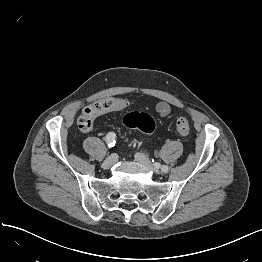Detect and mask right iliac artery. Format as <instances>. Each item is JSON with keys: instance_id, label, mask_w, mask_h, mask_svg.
<instances>
[{"instance_id": "right-iliac-artery-1", "label": "right iliac artery", "mask_w": 262, "mask_h": 262, "mask_svg": "<svg viewBox=\"0 0 262 262\" xmlns=\"http://www.w3.org/2000/svg\"><path fill=\"white\" fill-rule=\"evenodd\" d=\"M105 142L109 148L114 147L116 143V134L114 132H109L105 137Z\"/></svg>"}]
</instances>
